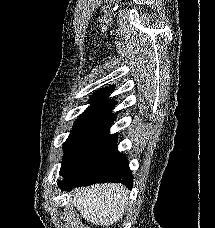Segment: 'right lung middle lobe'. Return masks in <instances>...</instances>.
Listing matches in <instances>:
<instances>
[{"instance_id":"right-lung-middle-lobe-1","label":"right lung middle lobe","mask_w":215,"mask_h":228,"mask_svg":"<svg viewBox=\"0 0 215 228\" xmlns=\"http://www.w3.org/2000/svg\"><path fill=\"white\" fill-rule=\"evenodd\" d=\"M110 122H97L74 127L64 143L60 175L66 177L78 166L117 139L109 133ZM60 182V181H59Z\"/></svg>"}]
</instances>
